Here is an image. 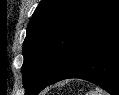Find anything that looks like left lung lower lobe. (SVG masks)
Wrapping results in <instances>:
<instances>
[{
    "mask_svg": "<svg viewBox=\"0 0 119 95\" xmlns=\"http://www.w3.org/2000/svg\"><path fill=\"white\" fill-rule=\"evenodd\" d=\"M69 78L88 80L119 95V2L80 38L58 73L34 95Z\"/></svg>",
    "mask_w": 119,
    "mask_h": 95,
    "instance_id": "0a47b994",
    "label": "left lung lower lobe"
}]
</instances>
